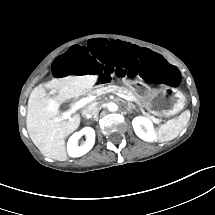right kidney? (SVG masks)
I'll list each match as a JSON object with an SVG mask.
<instances>
[{"mask_svg": "<svg viewBox=\"0 0 215 215\" xmlns=\"http://www.w3.org/2000/svg\"><path fill=\"white\" fill-rule=\"evenodd\" d=\"M85 133L87 136L86 142L82 146L77 145V141L81 134ZM95 142V131L91 127H85L82 131L74 132L67 142V152L70 157H80L86 154L93 147Z\"/></svg>", "mask_w": 215, "mask_h": 215, "instance_id": "right-kidney-1", "label": "right kidney"}]
</instances>
